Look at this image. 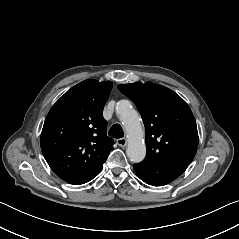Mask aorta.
Masks as SVG:
<instances>
[{"label": "aorta", "instance_id": "obj_1", "mask_svg": "<svg viewBox=\"0 0 239 239\" xmlns=\"http://www.w3.org/2000/svg\"><path fill=\"white\" fill-rule=\"evenodd\" d=\"M117 114L123 118L127 139L129 141L126 153L132 162L141 161L146 154L144 129L135 111L130 109L128 100H121L117 106Z\"/></svg>", "mask_w": 239, "mask_h": 239}]
</instances>
